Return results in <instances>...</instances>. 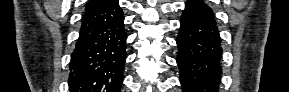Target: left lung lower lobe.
I'll use <instances>...</instances> for the list:
<instances>
[{"label":"left lung lower lobe","instance_id":"1","mask_svg":"<svg viewBox=\"0 0 289 92\" xmlns=\"http://www.w3.org/2000/svg\"><path fill=\"white\" fill-rule=\"evenodd\" d=\"M180 24L176 42L183 92H218L222 48L212 9L188 0Z\"/></svg>","mask_w":289,"mask_h":92}]
</instances>
